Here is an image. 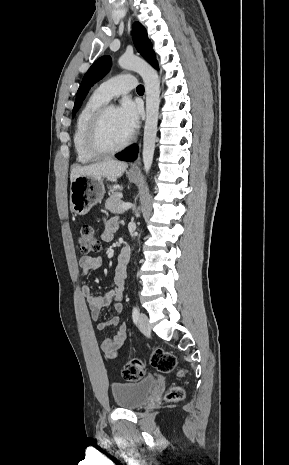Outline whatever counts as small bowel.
Here are the masks:
<instances>
[{
	"mask_svg": "<svg viewBox=\"0 0 289 465\" xmlns=\"http://www.w3.org/2000/svg\"><path fill=\"white\" fill-rule=\"evenodd\" d=\"M118 229V224L115 219H110L105 222L101 237L104 241H110L114 233ZM103 263L101 256L84 255L79 259V271L83 276H87L90 272L98 270ZM126 264L118 261L114 274V287L105 293L95 294L89 285L85 284L82 287V293L90 307L91 319L96 322V327L99 331H106L109 328H115V333L112 337L106 338L100 345L101 351L107 358H115L127 338L126 325L121 323L119 318L114 317L107 321H98L100 311L107 306L112 305L117 312L123 309L122 299L124 295V285L126 279Z\"/></svg>",
	"mask_w": 289,
	"mask_h": 465,
	"instance_id": "obj_1",
	"label": "small bowel"
}]
</instances>
